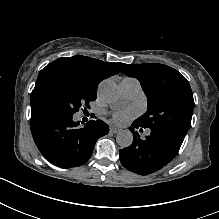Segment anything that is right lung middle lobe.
<instances>
[{"label": "right lung middle lobe", "mask_w": 219, "mask_h": 219, "mask_svg": "<svg viewBox=\"0 0 219 219\" xmlns=\"http://www.w3.org/2000/svg\"><path fill=\"white\" fill-rule=\"evenodd\" d=\"M95 95V88L80 76L60 67H49L40 71L30 104L49 105L74 115L81 106L89 107Z\"/></svg>", "instance_id": "obj_1"}]
</instances>
